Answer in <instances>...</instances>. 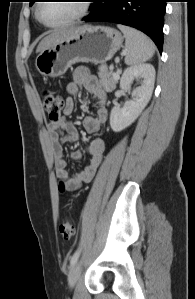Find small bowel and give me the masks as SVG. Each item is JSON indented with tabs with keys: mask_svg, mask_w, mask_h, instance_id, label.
Segmentation results:
<instances>
[{
	"mask_svg": "<svg viewBox=\"0 0 195 299\" xmlns=\"http://www.w3.org/2000/svg\"><path fill=\"white\" fill-rule=\"evenodd\" d=\"M84 88L93 98L96 107V115L87 116L84 119V129L88 134H93L105 126L108 119L106 108V94L99 79L88 73L84 69H77L73 73L72 81L66 86L68 97L64 104V114L70 115L75 109L73 97L79 93L80 88ZM48 132L51 141V147L54 154V166L58 178L65 185L66 190L74 191L79 189L82 184L88 183L93 178L97 167L100 165L105 150V143L102 139H94L88 146L91 155V162L79 170L74 176H70L67 170V164L63 158L64 142H74L78 139V131L73 123L66 119L59 122H50ZM81 152L75 151L73 159L79 161Z\"/></svg>",
	"mask_w": 195,
	"mask_h": 299,
	"instance_id": "small-bowel-1",
	"label": "small bowel"
}]
</instances>
